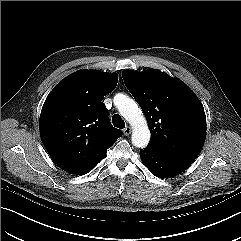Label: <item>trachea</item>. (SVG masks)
Here are the masks:
<instances>
[{
    "label": "trachea",
    "instance_id": "obj_1",
    "mask_svg": "<svg viewBox=\"0 0 241 241\" xmlns=\"http://www.w3.org/2000/svg\"><path fill=\"white\" fill-rule=\"evenodd\" d=\"M112 123L115 127L117 128H125V122L124 120L121 118L120 115L118 114H115L113 117H112Z\"/></svg>",
    "mask_w": 241,
    "mask_h": 241
}]
</instances>
